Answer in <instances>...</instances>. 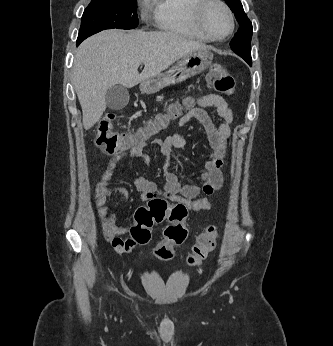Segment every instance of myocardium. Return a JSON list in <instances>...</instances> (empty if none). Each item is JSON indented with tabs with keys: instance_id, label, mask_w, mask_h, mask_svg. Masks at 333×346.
Here are the masks:
<instances>
[{
	"instance_id": "myocardium-1",
	"label": "myocardium",
	"mask_w": 333,
	"mask_h": 346,
	"mask_svg": "<svg viewBox=\"0 0 333 346\" xmlns=\"http://www.w3.org/2000/svg\"><path fill=\"white\" fill-rule=\"evenodd\" d=\"M212 5H219L226 12L229 21H230V29L223 36H215L206 25V12ZM195 19L200 30L210 39L214 40H224L232 35L235 29V19L234 15L229 8V6L222 0H199L197 5L195 6Z\"/></svg>"
}]
</instances>
